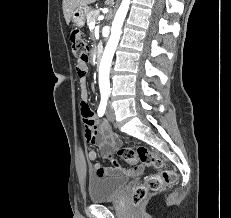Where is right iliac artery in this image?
Wrapping results in <instances>:
<instances>
[{
	"mask_svg": "<svg viewBox=\"0 0 231 218\" xmlns=\"http://www.w3.org/2000/svg\"><path fill=\"white\" fill-rule=\"evenodd\" d=\"M107 99H108V94L107 93H102L101 94V102L98 108V115L101 117L104 115L105 110H106V105H107Z\"/></svg>",
	"mask_w": 231,
	"mask_h": 218,
	"instance_id": "82829eb1",
	"label": "right iliac artery"
}]
</instances>
